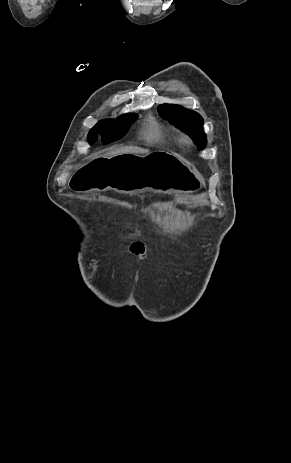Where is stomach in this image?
<instances>
[{
	"instance_id": "stomach-1",
	"label": "stomach",
	"mask_w": 291,
	"mask_h": 463,
	"mask_svg": "<svg viewBox=\"0 0 291 463\" xmlns=\"http://www.w3.org/2000/svg\"><path fill=\"white\" fill-rule=\"evenodd\" d=\"M202 185L203 179L194 167L179 155L165 151L145 155L123 151L119 157H94L68 184L75 191L112 189L124 194L146 190L190 193Z\"/></svg>"
}]
</instances>
